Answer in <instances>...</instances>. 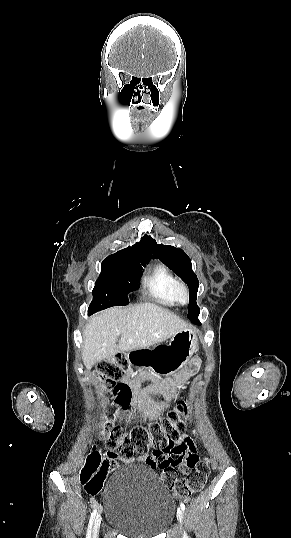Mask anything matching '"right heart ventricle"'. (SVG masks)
I'll return each instance as SVG.
<instances>
[{"instance_id": "1", "label": "right heart ventricle", "mask_w": 291, "mask_h": 538, "mask_svg": "<svg viewBox=\"0 0 291 538\" xmlns=\"http://www.w3.org/2000/svg\"><path fill=\"white\" fill-rule=\"evenodd\" d=\"M177 280L163 264L154 265L144 278V286L149 295L158 303L174 305L173 287Z\"/></svg>"}]
</instances>
